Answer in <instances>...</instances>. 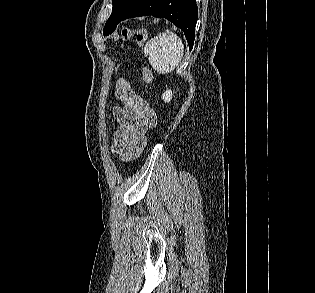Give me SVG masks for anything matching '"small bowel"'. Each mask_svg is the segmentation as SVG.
<instances>
[{"label":"small bowel","mask_w":315,"mask_h":293,"mask_svg":"<svg viewBox=\"0 0 315 293\" xmlns=\"http://www.w3.org/2000/svg\"><path fill=\"white\" fill-rule=\"evenodd\" d=\"M116 97L124 105L113 108L117 128L111 150L121 159L128 160L134 157L147 131L155 126L156 114L148 102L132 90L129 94L116 93Z\"/></svg>","instance_id":"obj_1"}]
</instances>
